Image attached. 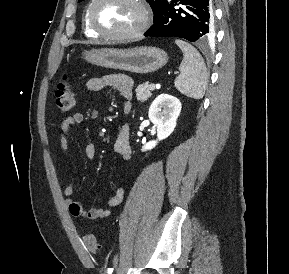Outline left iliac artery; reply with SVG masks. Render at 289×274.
<instances>
[{"label": "left iliac artery", "instance_id": "44dca946", "mask_svg": "<svg viewBox=\"0 0 289 274\" xmlns=\"http://www.w3.org/2000/svg\"><path fill=\"white\" fill-rule=\"evenodd\" d=\"M112 272H113V268H108V269H107V273H108V274H112Z\"/></svg>", "mask_w": 289, "mask_h": 274}]
</instances>
